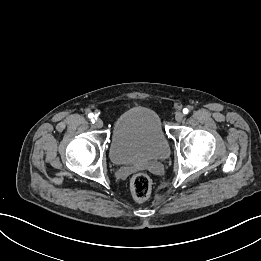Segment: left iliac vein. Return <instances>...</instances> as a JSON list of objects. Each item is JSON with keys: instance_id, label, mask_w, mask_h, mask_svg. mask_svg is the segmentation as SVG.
Segmentation results:
<instances>
[{"instance_id": "1", "label": "left iliac vein", "mask_w": 261, "mask_h": 261, "mask_svg": "<svg viewBox=\"0 0 261 261\" xmlns=\"http://www.w3.org/2000/svg\"><path fill=\"white\" fill-rule=\"evenodd\" d=\"M183 118H184V114L182 112L176 113L175 119L177 122H181L183 120Z\"/></svg>"}]
</instances>
